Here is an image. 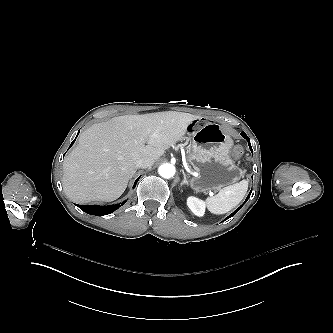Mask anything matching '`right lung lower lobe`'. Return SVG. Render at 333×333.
I'll return each instance as SVG.
<instances>
[{
	"mask_svg": "<svg viewBox=\"0 0 333 333\" xmlns=\"http://www.w3.org/2000/svg\"><path fill=\"white\" fill-rule=\"evenodd\" d=\"M75 140H76V138L74 139V141ZM74 141L71 143L70 147L72 146ZM138 179L135 181L134 187L136 186ZM124 203L125 202H122L121 204L108 205V206L78 205V207H80L81 210H83L84 212H86L90 215L103 216V215H107V214H110V213L114 212L115 210H117Z\"/></svg>",
	"mask_w": 333,
	"mask_h": 333,
	"instance_id": "right-lung-lower-lobe-1",
	"label": "right lung lower lobe"
}]
</instances>
